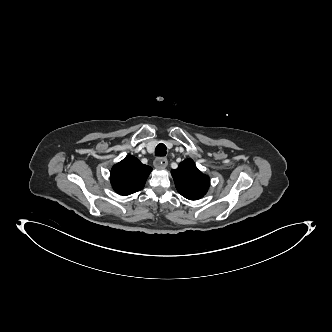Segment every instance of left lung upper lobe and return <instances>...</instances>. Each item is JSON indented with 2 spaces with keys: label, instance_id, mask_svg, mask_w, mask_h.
Instances as JSON below:
<instances>
[{
  "label": "left lung upper lobe",
  "instance_id": "1",
  "mask_svg": "<svg viewBox=\"0 0 332 332\" xmlns=\"http://www.w3.org/2000/svg\"><path fill=\"white\" fill-rule=\"evenodd\" d=\"M178 192L189 200L202 198L210 186V179L203 174L192 159L181 162L171 171Z\"/></svg>",
  "mask_w": 332,
  "mask_h": 332
}]
</instances>
